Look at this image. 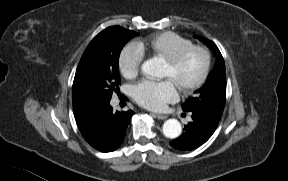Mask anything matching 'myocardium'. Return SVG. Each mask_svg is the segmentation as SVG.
<instances>
[{"instance_id":"myocardium-1","label":"myocardium","mask_w":288,"mask_h":181,"mask_svg":"<svg viewBox=\"0 0 288 181\" xmlns=\"http://www.w3.org/2000/svg\"><path fill=\"white\" fill-rule=\"evenodd\" d=\"M193 52H200L204 56V68L200 77L195 82L180 89L181 92L184 94L196 91L197 89L202 87L203 84L207 81L212 67V55L210 50L202 45H191L178 51L170 58L164 60V63L166 65H168L171 68H174L178 66L189 54Z\"/></svg>"}]
</instances>
